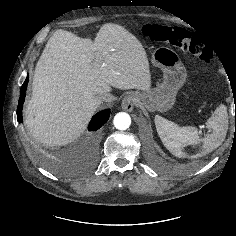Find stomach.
Returning <instances> with one entry per match:
<instances>
[{
  "instance_id": "0dacf381",
  "label": "stomach",
  "mask_w": 236,
  "mask_h": 236,
  "mask_svg": "<svg viewBox=\"0 0 236 236\" xmlns=\"http://www.w3.org/2000/svg\"><path fill=\"white\" fill-rule=\"evenodd\" d=\"M151 62L163 72V81L155 87L136 92V103L149 111L170 110L178 92L185 83L187 73L178 54L167 47L155 49Z\"/></svg>"
}]
</instances>
